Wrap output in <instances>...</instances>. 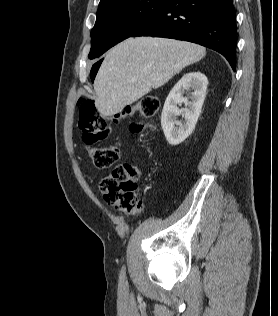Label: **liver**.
<instances>
[{"label": "liver", "instance_id": "liver-1", "mask_svg": "<svg viewBox=\"0 0 278 316\" xmlns=\"http://www.w3.org/2000/svg\"><path fill=\"white\" fill-rule=\"evenodd\" d=\"M205 55L204 47L186 41L128 38L101 64L94 81L96 107L103 116H113Z\"/></svg>", "mask_w": 278, "mask_h": 316}]
</instances>
